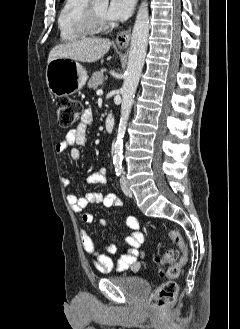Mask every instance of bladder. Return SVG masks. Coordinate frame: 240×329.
<instances>
[{"instance_id":"bladder-1","label":"bladder","mask_w":240,"mask_h":329,"mask_svg":"<svg viewBox=\"0 0 240 329\" xmlns=\"http://www.w3.org/2000/svg\"><path fill=\"white\" fill-rule=\"evenodd\" d=\"M110 280L133 297H143L150 289L149 282L140 276H112Z\"/></svg>"}]
</instances>
